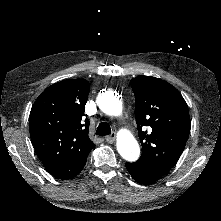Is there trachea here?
I'll list each match as a JSON object with an SVG mask.
<instances>
[{
	"label": "trachea",
	"mask_w": 221,
	"mask_h": 221,
	"mask_svg": "<svg viewBox=\"0 0 221 221\" xmlns=\"http://www.w3.org/2000/svg\"><path fill=\"white\" fill-rule=\"evenodd\" d=\"M110 133H111L110 125L106 122H101L98 125L95 134L99 136H106V135H109Z\"/></svg>",
	"instance_id": "obj_1"
}]
</instances>
